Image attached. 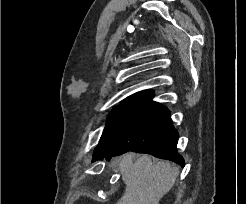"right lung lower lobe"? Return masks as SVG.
I'll list each match as a JSON object with an SVG mask.
<instances>
[{
    "label": "right lung lower lobe",
    "instance_id": "1",
    "mask_svg": "<svg viewBox=\"0 0 246 204\" xmlns=\"http://www.w3.org/2000/svg\"><path fill=\"white\" fill-rule=\"evenodd\" d=\"M152 97L150 94L130 107L108 152L101 157H93V161L134 151L184 167L185 162L177 153L178 133L172 125L170 112L165 106L152 101Z\"/></svg>",
    "mask_w": 246,
    "mask_h": 204
}]
</instances>
